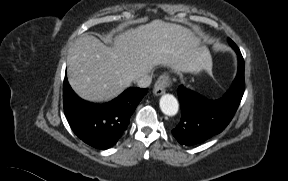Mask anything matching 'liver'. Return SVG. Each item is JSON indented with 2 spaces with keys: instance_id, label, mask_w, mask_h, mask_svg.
<instances>
[{
  "instance_id": "liver-1",
  "label": "liver",
  "mask_w": 288,
  "mask_h": 181,
  "mask_svg": "<svg viewBox=\"0 0 288 181\" xmlns=\"http://www.w3.org/2000/svg\"><path fill=\"white\" fill-rule=\"evenodd\" d=\"M198 45L190 29L159 19L119 33L113 47L84 35L69 49L68 81L81 98L107 101L155 66L195 72Z\"/></svg>"
}]
</instances>
